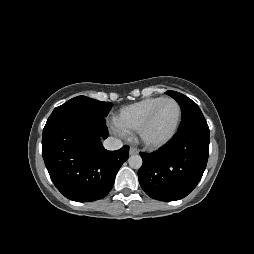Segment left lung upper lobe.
Instances as JSON below:
<instances>
[{
	"label": "left lung upper lobe",
	"instance_id": "obj_1",
	"mask_svg": "<svg viewBox=\"0 0 254 254\" xmlns=\"http://www.w3.org/2000/svg\"><path fill=\"white\" fill-rule=\"evenodd\" d=\"M166 93L180 104L183 112L178 131L192 126H208L200 108L194 101L179 92L167 91Z\"/></svg>",
	"mask_w": 254,
	"mask_h": 254
}]
</instances>
